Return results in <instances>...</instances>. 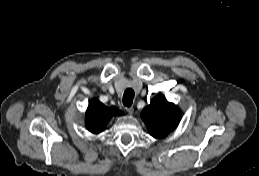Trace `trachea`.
<instances>
[{
  "label": "trachea",
  "mask_w": 259,
  "mask_h": 176,
  "mask_svg": "<svg viewBox=\"0 0 259 176\" xmlns=\"http://www.w3.org/2000/svg\"><path fill=\"white\" fill-rule=\"evenodd\" d=\"M134 98V91L131 88H128L125 90L124 95H123V104L126 107H130L132 105Z\"/></svg>",
  "instance_id": "3493384b"
}]
</instances>
